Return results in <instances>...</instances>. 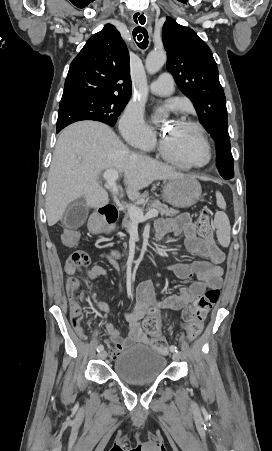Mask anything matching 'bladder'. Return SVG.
<instances>
[{
    "instance_id": "obj_1",
    "label": "bladder",
    "mask_w": 272,
    "mask_h": 451,
    "mask_svg": "<svg viewBox=\"0 0 272 451\" xmlns=\"http://www.w3.org/2000/svg\"><path fill=\"white\" fill-rule=\"evenodd\" d=\"M166 363L162 353L135 345L118 355L113 363V372L125 383L149 384L163 373Z\"/></svg>"
}]
</instances>
